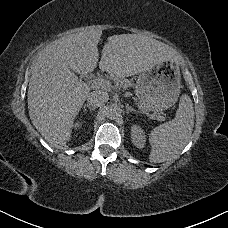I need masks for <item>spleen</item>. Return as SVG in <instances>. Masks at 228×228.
<instances>
[{
    "instance_id": "obj_1",
    "label": "spleen",
    "mask_w": 228,
    "mask_h": 228,
    "mask_svg": "<svg viewBox=\"0 0 228 228\" xmlns=\"http://www.w3.org/2000/svg\"><path fill=\"white\" fill-rule=\"evenodd\" d=\"M194 109L188 95H182L175 118L155 127L149 134L152 146L150 162L161 163L175 160L192 134Z\"/></svg>"
}]
</instances>
